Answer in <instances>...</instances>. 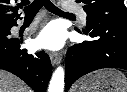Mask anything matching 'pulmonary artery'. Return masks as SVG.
<instances>
[{
	"label": "pulmonary artery",
	"mask_w": 127,
	"mask_h": 92,
	"mask_svg": "<svg viewBox=\"0 0 127 92\" xmlns=\"http://www.w3.org/2000/svg\"><path fill=\"white\" fill-rule=\"evenodd\" d=\"M62 9L65 12H74V13H77L80 16L81 20L83 22H86L87 15L79 7H77V6H75V5L71 4V3L64 2V3H62Z\"/></svg>",
	"instance_id": "pulmonary-artery-1"
}]
</instances>
